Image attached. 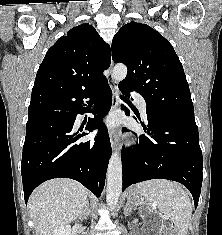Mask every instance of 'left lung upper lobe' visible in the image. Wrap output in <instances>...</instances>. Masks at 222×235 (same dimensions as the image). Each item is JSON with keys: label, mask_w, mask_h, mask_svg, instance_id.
Returning a JSON list of instances; mask_svg holds the SVG:
<instances>
[{"label": "left lung upper lobe", "mask_w": 222, "mask_h": 235, "mask_svg": "<svg viewBox=\"0 0 222 235\" xmlns=\"http://www.w3.org/2000/svg\"><path fill=\"white\" fill-rule=\"evenodd\" d=\"M115 63L128 67L119 86L137 91L146 113H162L195 122L194 108L182 64L170 42L150 26L130 22L112 42Z\"/></svg>", "instance_id": "left-lung-upper-lobe-1"}]
</instances>
